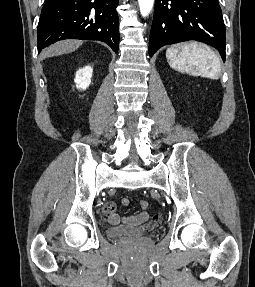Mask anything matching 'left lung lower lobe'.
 I'll list each match as a JSON object with an SVG mask.
<instances>
[{"label":"left lung lower lobe","instance_id":"0a47b994","mask_svg":"<svg viewBox=\"0 0 255 287\" xmlns=\"http://www.w3.org/2000/svg\"><path fill=\"white\" fill-rule=\"evenodd\" d=\"M149 55L164 45L196 40L215 47L225 61V25L218 0H155Z\"/></svg>","mask_w":255,"mask_h":287}]
</instances>
